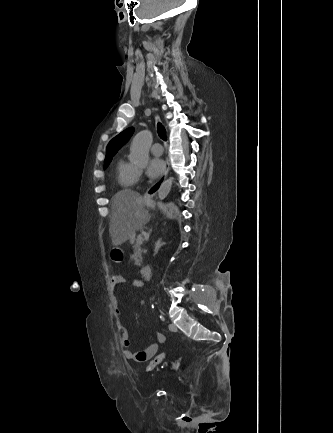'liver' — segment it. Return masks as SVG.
I'll list each match as a JSON object with an SVG mask.
<instances>
[{
    "mask_svg": "<svg viewBox=\"0 0 333 433\" xmlns=\"http://www.w3.org/2000/svg\"><path fill=\"white\" fill-rule=\"evenodd\" d=\"M143 197L130 189L117 192L112 198L109 232L113 246H119L150 221Z\"/></svg>",
    "mask_w": 333,
    "mask_h": 433,
    "instance_id": "obj_1",
    "label": "liver"
}]
</instances>
